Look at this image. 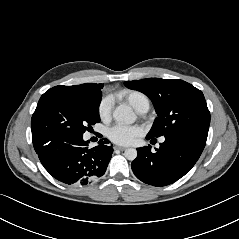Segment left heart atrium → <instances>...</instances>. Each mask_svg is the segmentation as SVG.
<instances>
[{"label":"left heart atrium","mask_w":239,"mask_h":239,"mask_svg":"<svg viewBox=\"0 0 239 239\" xmlns=\"http://www.w3.org/2000/svg\"><path fill=\"white\" fill-rule=\"evenodd\" d=\"M142 133L139 126H129L124 124H116L108 131L109 139L119 145L132 144Z\"/></svg>","instance_id":"1"}]
</instances>
